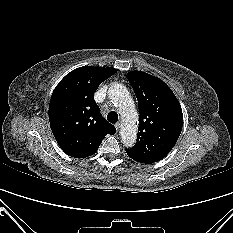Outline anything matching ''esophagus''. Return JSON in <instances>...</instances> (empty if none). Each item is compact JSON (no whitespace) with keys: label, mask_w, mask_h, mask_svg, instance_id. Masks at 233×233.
I'll return each mask as SVG.
<instances>
[{"label":"esophagus","mask_w":233,"mask_h":233,"mask_svg":"<svg viewBox=\"0 0 233 233\" xmlns=\"http://www.w3.org/2000/svg\"><path fill=\"white\" fill-rule=\"evenodd\" d=\"M115 127H116V129H117V131L120 129V123L119 122H117L116 124H115Z\"/></svg>","instance_id":"34e87169"}]
</instances>
